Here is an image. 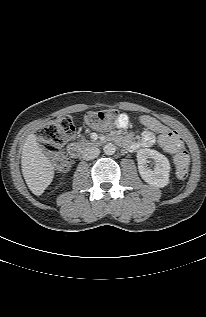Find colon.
<instances>
[{
	"label": "colon",
	"instance_id": "1",
	"mask_svg": "<svg viewBox=\"0 0 206 317\" xmlns=\"http://www.w3.org/2000/svg\"><path fill=\"white\" fill-rule=\"evenodd\" d=\"M120 114L116 109L89 112L84 119L88 128L107 130L116 125ZM74 131L71 117L65 115L40 128L37 134L41 147L50 154L55 169L59 173L67 172L71 159L64 153L63 146ZM167 152L173 154L176 175L184 179L188 174L189 155L180 136L176 132L166 134L160 141Z\"/></svg>",
	"mask_w": 206,
	"mask_h": 317
}]
</instances>
